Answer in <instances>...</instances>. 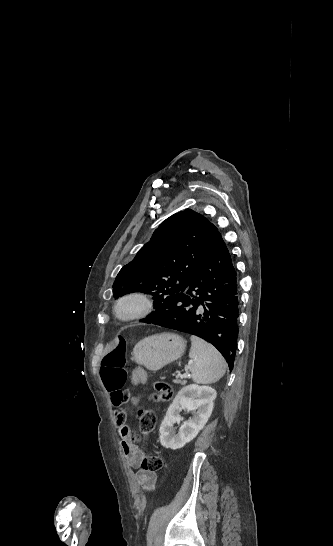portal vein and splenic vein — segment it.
Wrapping results in <instances>:
<instances>
[{
	"label": "portal vein and splenic vein",
	"mask_w": 333,
	"mask_h": 546,
	"mask_svg": "<svg viewBox=\"0 0 333 546\" xmlns=\"http://www.w3.org/2000/svg\"><path fill=\"white\" fill-rule=\"evenodd\" d=\"M189 365H190V364H189ZM182 377H186V374H185V373H184V374H182Z\"/></svg>",
	"instance_id": "obj_1"
}]
</instances>
